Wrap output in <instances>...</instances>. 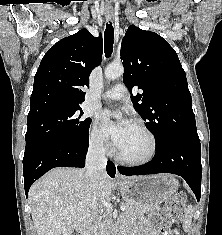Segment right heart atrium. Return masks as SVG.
I'll return each instance as SVG.
<instances>
[{"instance_id": "right-heart-atrium-1", "label": "right heart atrium", "mask_w": 222, "mask_h": 235, "mask_svg": "<svg viewBox=\"0 0 222 235\" xmlns=\"http://www.w3.org/2000/svg\"><path fill=\"white\" fill-rule=\"evenodd\" d=\"M90 146L97 152L106 153L110 150L111 145L107 134L101 128L97 121L92 124L89 133Z\"/></svg>"}]
</instances>
